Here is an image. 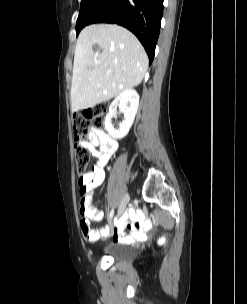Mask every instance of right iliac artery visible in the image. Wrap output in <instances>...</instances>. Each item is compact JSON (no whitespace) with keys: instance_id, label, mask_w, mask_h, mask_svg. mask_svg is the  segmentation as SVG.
<instances>
[{"instance_id":"obj_1","label":"right iliac artery","mask_w":247,"mask_h":304,"mask_svg":"<svg viewBox=\"0 0 247 304\" xmlns=\"http://www.w3.org/2000/svg\"><path fill=\"white\" fill-rule=\"evenodd\" d=\"M113 215H114V210H111L110 215H109L110 220L113 218Z\"/></svg>"}]
</instances>
